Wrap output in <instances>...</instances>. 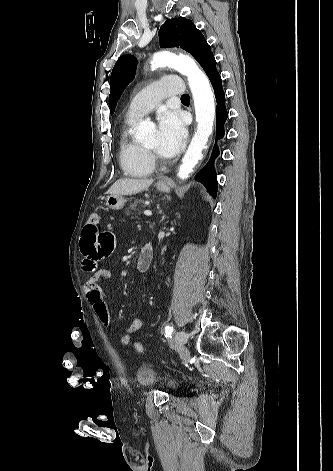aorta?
<instances>
[{
	"label": "aorta",
	"instance_id": "obj_1",
	"mask_svg": "<svg viewBox=\"0 0 333 471\" xmlns=\"http://www.w3.org/2000/svg\"><path fill=\"white\" fill-rule=\"evenodd\" d=\"M152 66H169L186 76L193 95L197 129L177 174L180 179L184 180L188 178L201 159L203 149L212 132L215 118L214 95L206 75L190 57L175 55L169 51H161L154 55ZM153 129V123L142 121L136 128L135 136L139 140H145Z\"/></svg>",
	"mask_w": 333,
	"mask_h": 471
}]
</instances>
